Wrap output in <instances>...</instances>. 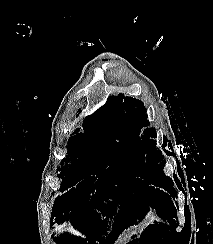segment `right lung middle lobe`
<instances>
[{"label":"right lung middle lobe","mask_w":213,"mask_h":244,"mask_svg":"<svg viewBox=\"0 0 213 244\" xmlns=\"http://www.w3.org/2000/svg\"><path fill=\"white\" fill-rule=\"evenodd\" d=\"M84 133L69 138L68 156L62 160L58 168L65 175L66 185H74L86 177L89 171L114 172L124 166V157L120 154L119 143L112 138L108 117L92 115L83 122ZM77 129L74 133H77ZM120 142V141H119Z\"/></svg>","instance_id":"right-lung-middle-lobe-1"}]
</instances>
